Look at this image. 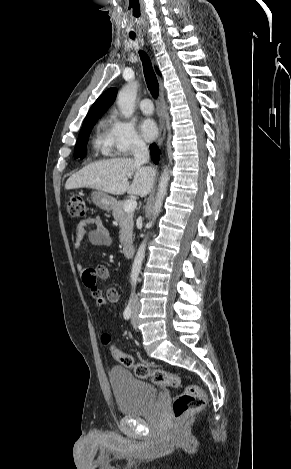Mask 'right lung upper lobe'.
I'll return each instance as SVG.
<instances>
[{"label": "right lung upper lobe", "mask_w": 291, "mask_h": 469, "mask_svg": "<svg viewBox=\"0 0 291 469\" xmlns=\"http://www.w3.org/2000/svg\"><path fill=\"white\" fill-rule=\"evenodd\" d=\"M116 94L117 91L114 88L106 90L92 105L85 119L99 118L112 105Z\"/></svg>", "instance_id": "obj_1"}]
</instances>
